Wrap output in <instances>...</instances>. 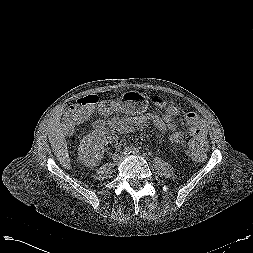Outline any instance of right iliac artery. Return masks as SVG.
<instances>
[{
    "label": "right iliac artery",
    "mask_w": 253,
    "mask_h": 253,
    "mask_svg": "<svg viewBox=\"0 0 253 253\" xmlns=\"http://www.w3.org/2000/svg\"><path fill=\"white\" fill-rule=\"evenodd\" d=\"M130 153H131V149L130 148H125L124 154L128 155Z\"/></svg>",
    "instance_id": "right-iliac-artery-1"
}]
</instances>
